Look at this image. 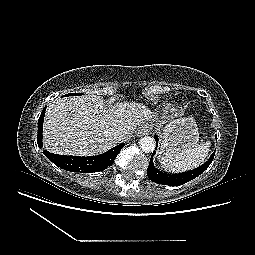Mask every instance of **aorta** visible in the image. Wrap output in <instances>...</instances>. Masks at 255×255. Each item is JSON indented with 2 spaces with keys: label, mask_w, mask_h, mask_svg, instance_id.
Instances as JSON below:
<instances>
[{
  "label": "aorta",
  "mask_w": 255,
  "mask_h": 255,
  "mask_svg": "<svg viewBox=\"0 0 255 255\" xmlns=\"http://www.w3.org/2000/svg\"><path fill=\"white\" fill-rule=\"evenodd\" d=\"M139 146L144 152H152L155 149L156 142L154 138L145 136L139 140Z\"/></svg>",
  "instance_id": "1"
}]
</instances>
